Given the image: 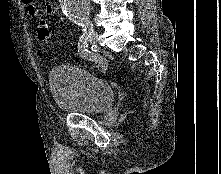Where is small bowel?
I'll use <instances>...</instances> for the list:
<instances>
[{
  "mask_svg": "<svg viewBox=\"0 0 221 174\" xmlns=\"http://www.w3.org/2000/svg\"><path fill=\"white\" fill-rule=\"evenodd\" d=\"M27 13L30 17H38L40 15V10L34 0H23ZM44 12L46 15H54L56 13L55 4L48 2L44 6Z\"/></svg>",
  "mask_w": 221,
  "mask_h": 174,
  "instance_id": "c3829d8e",
  "label": "small bowel"
}]
</instances>
